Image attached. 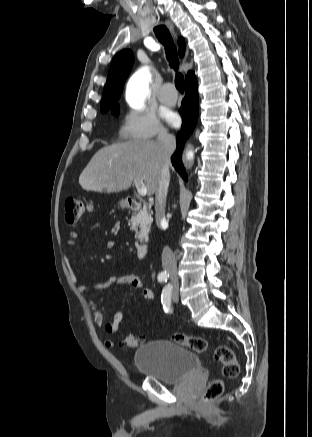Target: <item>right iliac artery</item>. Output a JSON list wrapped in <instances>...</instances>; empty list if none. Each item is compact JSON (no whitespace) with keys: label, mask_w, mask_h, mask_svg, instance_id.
Returning <instances> with one entry per match:
<instances>
[{"label":"right iliac artery","mask_w":312,"mask_h":437,"mask_svg":"<svg viewBox=\"0 0 312 437\" xmlns=\"http://www.w3.org/2000/svg\"><path fill=\"white\" fill-rule=\"evenodd\" d=\"M168 277H169L168 274L161 273V274L158 275V281L161 282V283L162 282H167Z\"/></svg>","instance_id":"obj_1"}]
</instances>
